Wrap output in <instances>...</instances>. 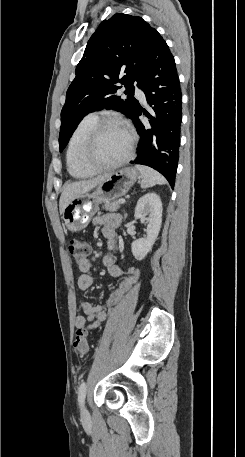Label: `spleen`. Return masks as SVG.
<instances>
[{"label":"spleen","instance_id":"spleen-1","mask_svg":"<svg viewBox=\"0 0 245 457\" xmlns=\"http://www.w3.org/2000/svg\"><path fill=\"white\" fill-rule=\"evenodd\" d=\"M139 172H141V188H149V186H154V184H165L166 180L160 172L149 168V166H143V164H136Z\"/></svg>","mask_w":245,"mask_h":457}]
</instances>
